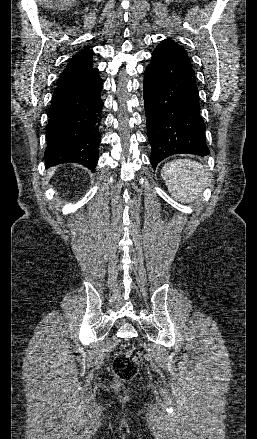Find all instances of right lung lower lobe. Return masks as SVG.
I'll return each instance as SVG.
<instances>
[{"instance_id":"1","label":"right lung lower lobe","mask_w":257,"mask_h":439,"mask_svg":"<svg viewBox=\"0 0 257 439\" xmlns=\"http://www.w3.org/2000/svg\"><path fill=\"white\" fill-rule=\"evenodd\" d=\"M102 88L97 68L58 84L46 130V168L61 163H79L95 170L101 142Z\"/></svg>"}]
</instances>
